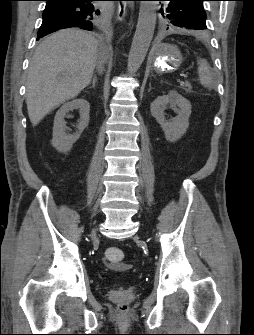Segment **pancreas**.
Returning a JSON list of instances; mask_svg holds the SVG:
<instances>
[{
  "mask_svg": "<svg viewBox=\"0 0 254 335\" xmlns=\"http://www.w3.org/2000/svg\"><path fill=\"white\" fill-rule=\"evenodd\" d=\"M191 84L189 82H184L183 83V89L186 91V92H191Z\"/></svg>",
  "mask_w": 254,
  "mask_h": 335,
  "instance_id": "cf45deb5",
  "label": "pancreas"
}]
</instances>
